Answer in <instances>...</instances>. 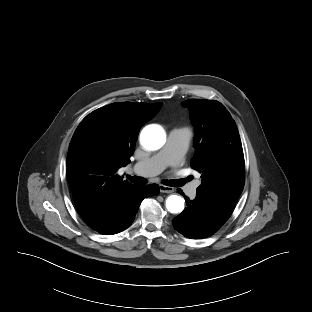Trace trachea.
<instances>
[{
    "label": "trachea",
    "mask_w": 312,
    "mask_h": 312,
    "mask_svg": "<svg viewBox=\"0 0 312 312\" xmlns=\"http://www.w3.org/2000/svg\"><path fill=\"white\" fill-rule=\"evenodd\" d=\"M128 179L132 182V183H137V184H147V179L143 178V177H138V176H127ZM192 177L189 176L187 178L184 179H176V180H165L163 183L167 186H171V187H180L182 185H184L186 182L191 181Z\"/></svg>",
    "instance_id": "obj_1"
}]
</instances>
